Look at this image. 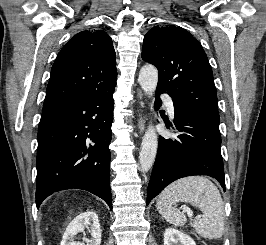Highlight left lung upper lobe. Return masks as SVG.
Masks as SVG:
<instances>
[{
	"label": "left lung upper lobe",
	"instance_id": "1",
	"mask_svg": "<svg viewBox=\"0 0 266 245\" xmlns=\"http://www.w3.org/2000/svg\"><path fill=\"white\" fill-rule=\"evenodd\" d=\"M142 59L158 68L157 88L179 105L219 120L212 69L201 44L179 26H155L144 37Z\"/></svg>",
	"mask_w": 266,
	"mask_h": 245
}]
</instances>
